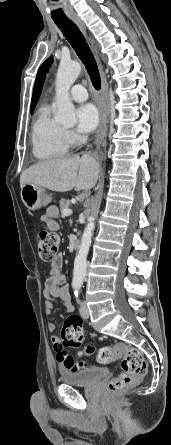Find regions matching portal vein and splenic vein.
<instances>
[{"label": "portal vein and splenic vein", "instance_id": "18ae733b", "mask_svg": "<svg viewBox=\"0 0 171 445\" xmlns=\"http://www.w3.org/2000/svg\"><path fill=\"white\" fill-rule=\"evenodd\" d=\"M62 214H63L64 216H70V215L72 214V210L66 208V209L62 212Z\"/></svg>", "mask_w": 171, "mask_h": 445}]
</instances>
